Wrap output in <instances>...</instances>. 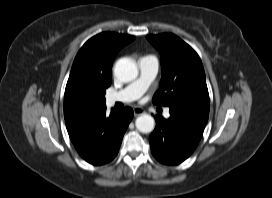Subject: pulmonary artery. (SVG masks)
I'll list each match as a JSON object with an SVG mask.
<instances>
[{
    "label": "pulmonary artery",
    "instance_id": "obj_1",
    "mask_svg": "<svg viewBox=\"0 0 272 198\" xmlns=\"http://www.w3.org/2000/svg\"><path fill=\"white\" fill-rule=\"evenodd\" d=\"M138 66L140 76L124 89L107 96V102L114 104L117 102L128 103L138 99L148 88L158 72V59L155 56H144L139 59ZM165 117H169V110L164 112Z\"/></svg>",
    "mask_w": 272,
    "mask_h": 198
}]
</instances>
